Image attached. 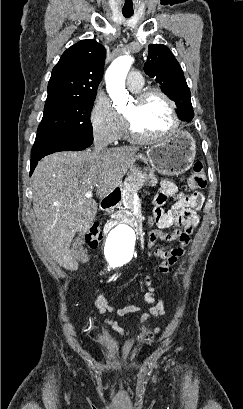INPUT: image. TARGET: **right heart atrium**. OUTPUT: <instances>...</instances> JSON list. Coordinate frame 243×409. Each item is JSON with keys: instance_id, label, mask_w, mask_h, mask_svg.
<instances>
[{"instance_id": "obj_1", "label": "right heart atrium", "mask_w": 243, "mask_h": 409, "mask_svg": "<svg viewBox=\"0 0 243 409\" xmlns=\"http://www.w3.org/2000/svg\"><path fill=\"white\" fill-rule=\"evenodd\" d=\"M90 125L94 137L107 144L117 142L124 134L123 120L106 95L95 99L90 112Z\"/></svg>"}]
</instances>
